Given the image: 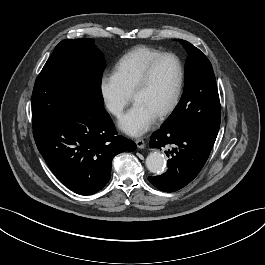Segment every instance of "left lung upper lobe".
<instances>
[{
	"instance_id": "left-lung-upper-lobe-1",
	"label": "left lung upper lobe",
	"mask_w": 265,
	"mask_h": 265,
	"mask_svg": "<svg viewBox=\"0 0 265 265\" xmlns=\"http://www.w3.org/2000/svg\"><path fill=\"white\" fill-rule=\"evenodd\" d=\"M187 50L184 92L162 129L184 128L201 134L214 144L221 110L216 80L208 58L191 43L178 39Z\"/></svg>"
}]
</instances>
